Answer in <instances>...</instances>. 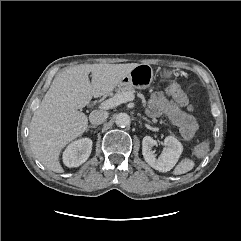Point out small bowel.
<instances>
[{
  "label": "small bowel",
  "mask_w": 241,
  "mask_h": 241,
  "mask_svg": "<svg viewBox=\"0 0 241 241\" xmlns=\"http://www.w3.org/2000/svg\"><path fill=\"white\" fill-rule=\"evenodd\" d=\"M148 112L154 117L166 115L179 128L185 140H191L198 128L195 118L185 113L180 105L173 100H168L162 92L152 94Z\"/></svg>",
  "instance_id": "small-bowel-1"
}]
</instances>
